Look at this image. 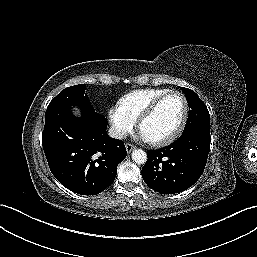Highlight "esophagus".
I'll list each match as a JSON object with an SVG mask.
<instances>
[{
  "instance_id": "esophagus-1",
  "label": "esophagus",
  "mask_w": 257,
  "mask_h": 257,
  "mask_svg": "<svg viewBox=\"0 0 257 257\" xmlns=\"http://www.w3.org/2000/svg\"><path fill=\"white\" fill-rule=\"evenodd\" d=\"M125 147H126L127 153H130L132 150L135 149V146L132 145V144H130V143H126V144H125Z\"/></svg>"
}]
</instances>
